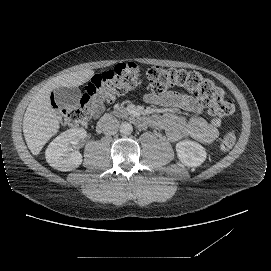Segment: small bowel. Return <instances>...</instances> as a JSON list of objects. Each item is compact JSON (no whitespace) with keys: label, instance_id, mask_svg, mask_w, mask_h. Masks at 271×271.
<instances>
[{"label":"small bowel","instance_id":"small-bowel-1","mask_svg":"<svg viewBox=\"0 0 271 271\" xmlns=\"http://www.w3.org/2000/svg\"><path fill=\"white\" fill-rule=\"evenodd\" d=\"M149 104L186 111L191 118H183L173 113L153 116V126L165 130L168 138L174 142L182 139H194L202 143H211L219 135L218 125L207 121L204 116H212L209 109L194 96L181 92H168L163 95L149 93L145 95Z\"/></svg>","mask_w":271,"mask_h":271}]
</instances>
